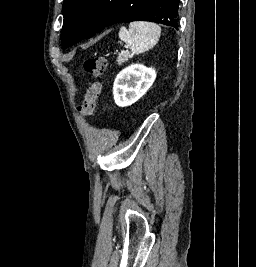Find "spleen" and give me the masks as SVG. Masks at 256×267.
Masks as SVG:
<instances>
[{
  "label": "spleen",
  "instance_id": "spleen-1",
  "mask_svg": "<svg viewBox=\"0 0 256 267\" xmlns=\"http://www.w3.org/2000/svg\"><path fill=\"white\" fill-rule=\"evenodd\" d=\"M118 36L127 44L132 54H144L159 42L161 28L153 22H131L129 30L122 26Z\"/></svg>",
  "mask_w": 256,
  "mask_h": 267
}]
</instances>
